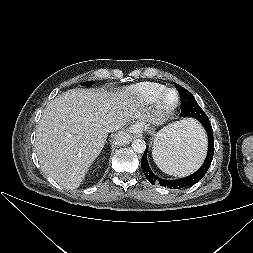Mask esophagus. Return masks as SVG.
<instances>
[{
  "label": "esophagus",
  "instance_id": "obj_1",
  "mask_svg": "<svg viewBox=\"0 0 253 253\" xmlns=\"http://www.w3.org/2000/svg\"><path fill=\"white\" fill-rule=\"evenodd\" d=\"M142 131V128L139 125H132L128 132L129 133H139ZM122 134H126V132H122Z\"/></svg>",
  "mask_w": 253,
  "mask_h": 253
}]
</instances>
